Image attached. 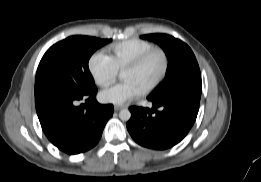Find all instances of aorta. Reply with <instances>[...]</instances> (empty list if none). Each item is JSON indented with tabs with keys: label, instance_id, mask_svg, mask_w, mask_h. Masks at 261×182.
<instances>
[{
	"label": "aorta",
	"instance_id": "762f6f07",
	"mask_svg": "<svg viewBox=\"0 0 261 182\" xmlns=\"http://www.w3.org/2000/svg\"><path fill=\"white\" fill-rule=\"evenodd\" d=\"M119 118L122 120V121H128L130 118H131V113L128 109H122L120 112H119Z\"/></svg>",
	"mask_w": 261,
	"mask_h": 182
}]
</instances>
